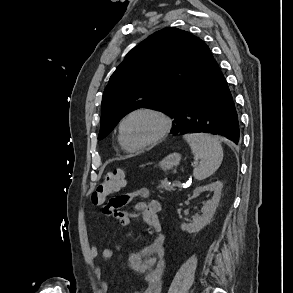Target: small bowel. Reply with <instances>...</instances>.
Segmentation results:
<instances>
[{
    "label": "small bowel",
    "instance_id": "1",
    "mask_svg": "<svg viewBox=\"0 0 293 293\" xmlns=\"http://www.w3.org/2000/svg\"><path fill=\"white\" fill-rule=\"evenodd\" d=\"M149 196V190L141 187L132 192L113 197L104 207L105 212L116 218L122 227H127L133 218L140 217L147 225V230L151 237L148 246L140 251L133 252L129 256L128 263L130 268L141 274L140 285L131 293H161L162 288V275L165 266V236L158 218L161 204L158 200L153 199L137 203L133 213L123 209L134 198L139 197L142 200H146ZM99 222V220H94V223ZM97 255L98 248L91 242L87 233V256L90 260H94ZM113 255L114 251L110 247L102 250L104 259H111ZM101 287L107 290L108 283L103 282Z\"/></svg>",
    "mask_w": 293,
    "mask_h": 293
}]
</instances>
